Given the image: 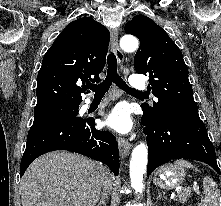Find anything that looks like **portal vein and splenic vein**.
Wrapping results in <instances>:
<instances>
[{
  "label": "portal vein and splenic vein",
  "mask_w": 221,
  "mask_h": 206,
  "mask_svg": "<svg viewBox=\"0 0 221 206\" xmlns=\"http://www.w3.org/2000/svg\"><path fill=\"white\" fill-rule=\"evenodd\" d=\"M192 190H194L197 194H199V187L194 185L192 188Z\"/></svg>",
  "instance_id": "obj_1"
}]
</instances>
